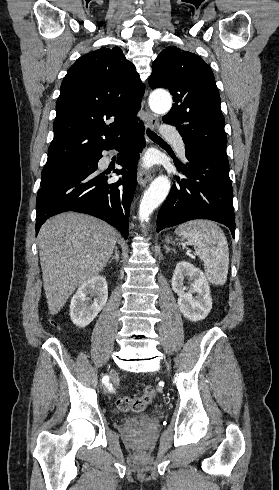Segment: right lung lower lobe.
<instances>
[{
	"instance_id": "98d812e1",
	"label": "right lung lower lobe",
	"mask_w": 279,
	"mask_h": 490,
	"mask_svg": "<svg viewBox=\"0 0 279 490\" xmlns=\"http://www.w3.org/2000/svg\"><path fill=\"white\" fill-rule=\"evenodd\" d=\"M143 130L144 127L135 128L104 148L120 151L117 163L124 169L113 171L123 174L117 182L107 183L109 177L97 175V164L102 158L100 151L88 159V170L40 184L36 202V234L49 217L75 211L108 222L127 239L129 209L136 188L138 153L145 146Z\"/></svg>"
}]
</instances>
